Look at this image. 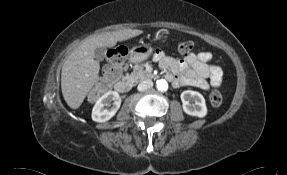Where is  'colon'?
Returning a JSON list of instances; mask_svg holds the SVG:
<instances>
[{
  "label": "colon",
  "instance_id": "5ec220e1",
  "mask_svg": "<svg viewBox=\"0 0 287 175\" xmlns=\"http://www.w3.org/2000/svg\"><path fill=\"white\" fill-rule=\"evenodd\" d=\"M179 53L189 54L193 49V44L191 42H181L177 47ZM127 54V51L123 47H118L110 52V56L113 58L121 59ZM118 78V73L113 72L112 81H115ZM209 99L214 106H218L222 102V95L217 89H213L210 92Z\"/></svg>",
  "mask_w": 287,
  "mask_h": 175
}]
</instances>
